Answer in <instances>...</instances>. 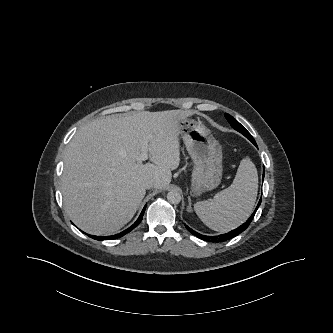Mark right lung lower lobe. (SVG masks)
<instances>
[{"mask_svg":"<svg viewBox=\"0 0 333 333\" xmlns=\"http://www.w3.org/2000/svg\"><path fill=\"white\" fill-rule=\"evenodd\" d=\"M145 209H146V205L143 208L140 216L138 217V219L136 220V222L132 226H130L129 228H127L126 230H124L123 232H121L119 234L107 236V237H105V239H116V238H120V237L124 236L125 234L129 233L131 230H133L136 226L139 225V223L141 222V220L143 218ZM88 236H90L93 239L99 240V241L103 240L102 236H98L97 237V236H92V235H89V234H88Z\"/></svg>","mask_w":333,"mask_h":333,"instance_id":"1","label":"right lung lower lobe"}]
</instances>
